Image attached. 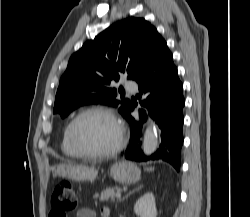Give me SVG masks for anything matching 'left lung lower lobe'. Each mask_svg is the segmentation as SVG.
<instances>
[{
	"mask_svg": "<svg viewBox=\"0 0 250 217\" xmlns=\"http://www.w3.org/2000/svg\"><path fill=\"white\" fill-rule=\"evenodd\" d=\"M135 81L138 83L140 101L143 108L139 109V119L132 117L134 106L131 104L125 119L131 126V143L125 151L129 160L147 161L162 159L172 164L178 171L180 168V153L183 144V113L185 105L183 84L178 78L173 56L163 39L149 67ZM151 117L161 129V144L150 156L141 150L140 137L143 123Z\"/></svg>",
	"mask_w": 250,
	"mask_h": 217,
	"instance_id": "left-lung-lower-lobe-1",
	"label": "left lung lower lobe"
}]
</instances>
